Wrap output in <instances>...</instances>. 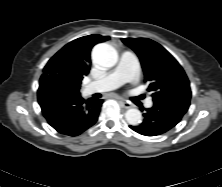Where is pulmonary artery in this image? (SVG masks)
<instances>
[{"label":"pulmonary artery","instance_id":"1","mask_svg":"<svg viewBox=\"0 0 222 187\" xmlns=\"http://www.w3.org/2000/svg\"><path fill=\"white\" fill-rule=\"evenodd\" d=\"M137 79L138 64L136 57L133 53L125 51L121 54L118 65L104 77L87 84L84 87V93L111 91L126 82H135ZM145 104L147 107H151L153 102L151 99H148Z\"/></svg>","mask_w":222,"mask_h":187}]
</instances>
